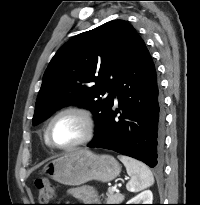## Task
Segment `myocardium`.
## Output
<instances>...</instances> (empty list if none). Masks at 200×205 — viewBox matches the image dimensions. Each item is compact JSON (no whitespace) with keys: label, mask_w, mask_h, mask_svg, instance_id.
Segmentation results:
<instances>
[{"label":"myocardium","mask_w":200,"mask_h":205,"mask_svg":"<svg viewBox=\"0 0 200 205\" xmlns=\"http://www.w3.org/2000/svg\"><path fill=\"white\" fill-rule=\"evenodd\" d=\"M67 114L76 115L82 120L84 124V134L79 140H77L72 144L59 145L55 143L54 140L52 139V135H51L52 126L57 119ZM95 132H96V122L92 112L89 109L82 106H69L60 110L51 118V120L47 125L45 136L48 144L51 147L59 150H72L89 143L94 138Z\"/></svg>","instance_id":"1"}]
</instances>
